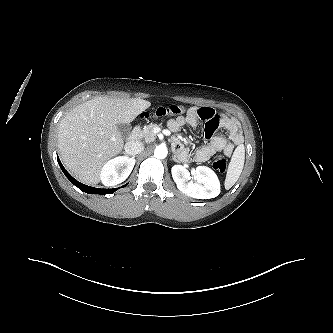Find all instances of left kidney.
<instances>
[{
  "instance_id": "left-kidney-1",
  "label": "left kidney",
  "mask_w": 333,
  "mask_h": 333,
  "mask_svg": "<svg viewBox=\"0 0 333 333\" xmlns=\"http://www.w3.org/2000/svg\"><path fill=\"white\" fill-rule=\"evenodd\" d=\"M171 173L177 188L187 196L210 199L220 194V181L216 173L207 166H198L191 176L184 166L174 165Z\"/></svg>"
}]
</instances>
